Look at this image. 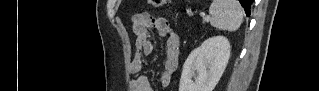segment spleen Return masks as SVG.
<instances>
[{"label":"spleen","instance_id":"3e777b00","mask_svg":"<svg viewBox=\"0 0 319 91\" xmlns=\"http://www.w3.org/2000/svg\"><path fill=\"white\" fill-rule=\"evenodd\" d=\"M210 23L220 30L236 31L243 21V8L237 0H213Z\"/></svg>","mask_w":319,"mask_h":91}]
</instances>
